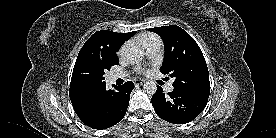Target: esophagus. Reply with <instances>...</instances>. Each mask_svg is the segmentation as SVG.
Instances as JSON below:
<instances>
[{
    "label": "esophagus",
    "instance_id": "obj_1",
    "mask_svg": "<svg viewBox=\"0 0 276 138\" xmlns=\"http://www.w3.org/2000/svg\"><path fill=\"white\" fill-rule=\"evenodd\" d=\"M145 83V80L143 79H135L134 84L135 85H143Z\"/></svg>",
    "mask_w": 276,
    "mask_h": 138
}]
</instances>
